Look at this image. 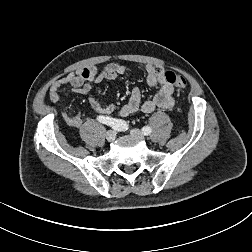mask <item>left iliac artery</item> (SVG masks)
Here are the masks:
<instances>
[{"label":"left iliac artery","instance_id":"44dca946","mask_svg":"<svg viewBox=\"0 0 252 252\" xmlns=\"http://www.w3.org/2000/svg\"><path fill=\"white\" fill-rule=\"evenodd\" d=\"M142 132L144 133V135H150L152 132V129L149 126H145L142 128Z\"/></svg>","mask_w":252,"mask_h":252}]
</instances>
